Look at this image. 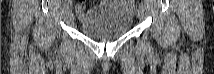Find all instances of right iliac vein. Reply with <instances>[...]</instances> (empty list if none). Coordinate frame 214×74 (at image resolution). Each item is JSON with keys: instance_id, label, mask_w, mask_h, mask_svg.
<instances>
[{"instance_id": "obj_1", "label": "right iliac vein", "mask_w": 214, "mask_h": 74, "mask_svg": "<svg viewBox=\"0 0 214 74\" xmlns=\"http://www.w3.org/2000/svg\"><path fill=\"white\" fill-rule=\"evenodd\" d=\"M68 18H69V20L73 19V12L70 9L68 11Z\"/></svg>"}]
</instances>
